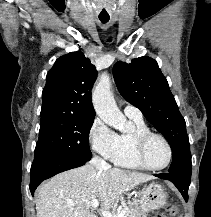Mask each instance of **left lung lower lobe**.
<instances>
[{"label":"left lung lower lobe","instance_id":"1","mask_svg":"<svg viewBox=\"0 0 211 217\" xmlns=\"http://www.w3.org/2000/svg\"><path fill=\"white\" fill-rule=\"evenodd\" d=\"M156 177L170 180L181 192L184 200L188 201V188L190 185L191 174L183 172H168L163 174H157Z\"/></svg>","mask_w":211,"mask_h":217}]
</instances>
